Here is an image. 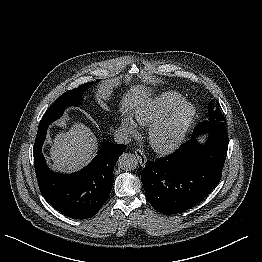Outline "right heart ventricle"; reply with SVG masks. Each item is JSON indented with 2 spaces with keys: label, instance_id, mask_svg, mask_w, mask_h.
I'll return each mask as SVG.
<instances>
[{
  "label": "right heart ventricle",
  "instance_id": "e07e8e85",
  "mask_svg": "<svg viewBox=\"0 0 262 262\" xmlns=\"http://www.w3.org/2000/svg\"><path fill=\"white\" fill-rule=\"evenodd\" d=\"M181 94L166 91L154 98L142 102L134 111L136 122L143 127L152 126L172 108L183 102Z\"/></svg>",
  "mask_w": 262,
  "mask_h": 262
}]
</instances>
